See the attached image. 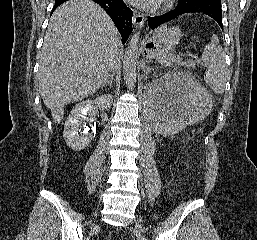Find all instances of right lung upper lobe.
Returning <instances> with one entry per match:
<instances>
[{"label":"right lung upper lobe","instance_id":"1","mask_svg":"<svg viewBox=\"0 0 257 240\" xmlns=\"http://www.w3.org/2000/svg\"><path fill=\"white\" fill-rule=\"evenodd\" d=\"M67 0H55V5H60L62 3H64Z\"/></svg>","mask_w":257,"mask_h":240}]
</instances>
